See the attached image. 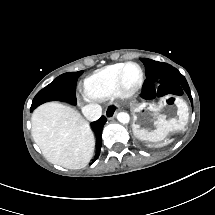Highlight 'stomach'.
<instances>
[{
    "instance_id": "0dacf381",
    "label": "stomach",
    "mask_w": 215,
    "mask_h": 215,
    "mask_svg": "<svg viewBox=\"0 0 215 215\" xmlns=\"http://www.w3.org/2000/svg\"><path fill=\"white\" fill-rule=\"evenodd\" d=\"M131 112L134 136L147 143L169 142L186 127L189 118L186 102L176 95L161 97L157 102H133Z\"/></svg>"
}]
</instances>
